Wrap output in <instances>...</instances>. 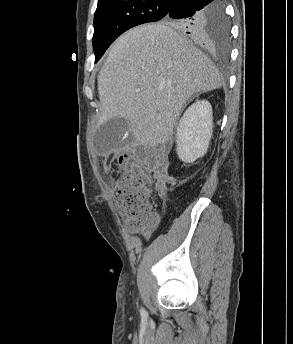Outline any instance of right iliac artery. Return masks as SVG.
<instances>
[{
  "label": "right iliac artery",
  "mask_w": 293,
  "mask_h": 344,
  "mask_svg": "<svg viewBox=\"0 0 293 344\" xmlns=\"http://www.w3.org/2000/svg\"><path fill=\"white\" fill-rule=\"evenodd\" d=\"M141 315L145 316L146 315V311L144 309H141Z\"/></svg>",
  "instance_id": "obj_1"
}]
</instances>
